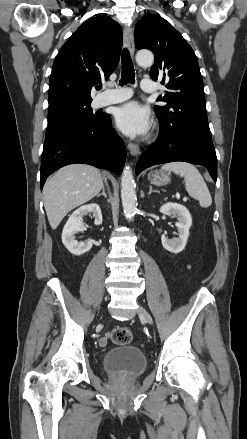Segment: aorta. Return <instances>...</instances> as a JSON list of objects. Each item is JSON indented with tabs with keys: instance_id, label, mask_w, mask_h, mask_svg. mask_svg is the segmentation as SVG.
<instances>
[{
	"instance_id": "obj_1",
	"label": "aorta",
	"mask_w": 247,
	"mask_h": 439,
	"mask_svg": "<svg viewBox=\"0 0 247 439\" xmlns=\"http://www.w3.org/2000/svg\"><path fill=\"white\" fill-rule=\"evenodd\" d=\"M136 61L139 65H151L154 56L151 52H138ZM135 181L129 165L125 166L121 177V200L124 214L128 220H132L137 210V198Z\"/></svg>"
}]
</instances>
